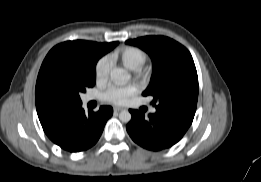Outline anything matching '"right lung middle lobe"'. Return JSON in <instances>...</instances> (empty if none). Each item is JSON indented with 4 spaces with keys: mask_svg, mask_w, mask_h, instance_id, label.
<instances>
[{
    "mask_svg": "<svg viewBox=\"0 0 261 182\" xmlns=\"http://www.w3.org/2000/svg\"><path fill=\"white\" fill-rule=\"evenodd\" d=\"M99 50L81 56L47 54L40 68L37 84L48 95L65 104L81 103L79 94L96 82Z\"/></svg>",
    "mask_w": 261,
    "mask_h": 182,
    "instance_id": "dd1d6c3e",
    "label": "right lung middle lobe"
}]
</instances>
